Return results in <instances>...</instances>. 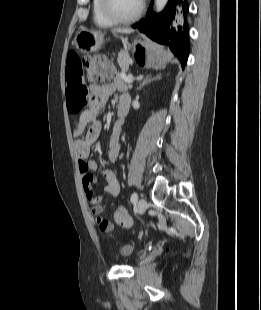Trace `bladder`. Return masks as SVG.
<instances>
[{
    "instance_id": "obj_1",
    "label": "bladder",
    "mask_w": 261,
    "mask_h": 310,
    "mask_svg": "<svg viewBox=\"0 0 261 310\" xmlns=\"http://www.w3.org/2000/svg\"><path fill=\"white\" fill-rule=\"evenodd\" d=\"M135 247L130 243H124L118 246V255L121 258H128L134 253Z\"/></svg>"
}]
</instances>
